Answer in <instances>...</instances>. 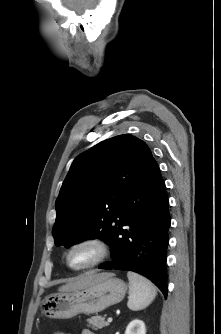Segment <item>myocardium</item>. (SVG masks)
I'll list each match as a JSON object with an SVG mask.
<instances>
[{
	"label": "myocardium",
	"instance_id": "f54148a6",
	"mask_svg": "<svg viewBox=\"0 0 221 334\" xmlns=\"http://www.w3.org/2000/svg\"><path fill=\"white\" fill-rule=\"evenodd\" d=\"M82 247L91 248L95 255L93 259L86 264L73 265L70 261V257L75 250ZM108 254L109 246L104 239L97 236H85L76 240L69 246L65 254V264L69 269L74 271L87 270L102 263L107 258Z\"/></svg>",
	"mask_w": 221,
	"mask_h": 334
}]
</instances>
